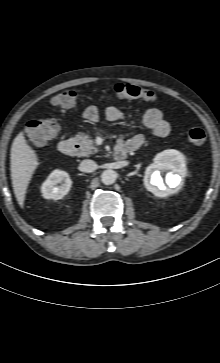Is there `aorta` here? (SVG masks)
<instances>
[{
  "mask_svg": "<svg viewBox=\"0 0 220 363\" xmlns=\"http://www.w3.org/2000/svg\"><path fill=\"white\" fill-rule=\"evenodd\" d=\"M117 173L114 170L108 169L102 172L101 181L105 185H111L116 181Z\"/></svg>",
  "mask_w": 220,
  "mask_h": 363,
  "instance_id": "1",
  "label": "aorta"
}]
</instances>
